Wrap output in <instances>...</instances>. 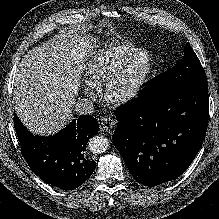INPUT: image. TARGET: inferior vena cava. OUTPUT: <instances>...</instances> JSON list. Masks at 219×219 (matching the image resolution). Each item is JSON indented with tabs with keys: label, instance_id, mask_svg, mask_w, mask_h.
Instances as JSON below:
<instances>
[{
	"label": "inferior vena cava",
	"instance_id": "obj_1",
	"mask_svg": "<svg viewBox=\"0 0 219 219\" xmlns=\"http://www.w3.org/2000/svg\"><path fill=\"white\" fill-rule=\"evenodd\" d=\"M94 105L91 100L81 99L75 104V111L79 114H91L93 112Z\"/></svg>",
	"mask_w": 219,
	"mask_h": 219
}]
</instances>
